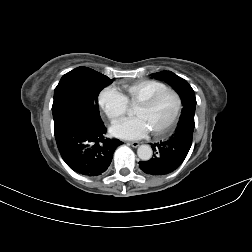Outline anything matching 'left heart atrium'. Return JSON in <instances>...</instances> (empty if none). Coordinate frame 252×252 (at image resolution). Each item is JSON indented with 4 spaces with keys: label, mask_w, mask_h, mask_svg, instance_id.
Here are the masks:
<instances>
[{
    "label": "left heart atrium",
    "mask_w": 252,
    "mask_h": 252,
    "mask_svg": "<svg viewBox=\"0 0 252 252\" xmlns=\"http://www.w3.org/2000/svg\"><path fill=\"white\" fill-rule=\"evenodd\" d=\"M148 132V126L141 117L123 119L111 128L114 136L123 139H139Z\"/></svg>",
    "instance_id": "39dd6f15"
}]
</instances>
